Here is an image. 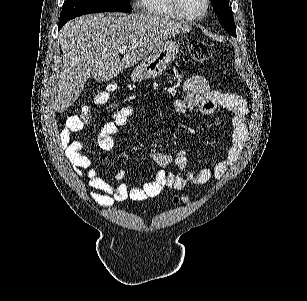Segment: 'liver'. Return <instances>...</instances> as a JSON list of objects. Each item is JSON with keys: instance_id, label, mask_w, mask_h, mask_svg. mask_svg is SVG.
Here are the masks:
<instances>
[{"instance_id": "liver-1", "label": "liver", "mask_w": 307, "mask_h": 301, "mask_svg": "<svg viewBox=\"0 0 307 301\" xmlns=\"http://www.w3.org/2000/svg\"><path fill=\"white\" fill-rule=\"evenodd\" d=\"M192 26L154 14H85L64 24L59 32L63 64L56 86L54 108L67 110L90 76L98 82L114 78L124 68L137 64L158 44ZM127 46V52L118 48Z\"/></svg>"}]
</instances>
